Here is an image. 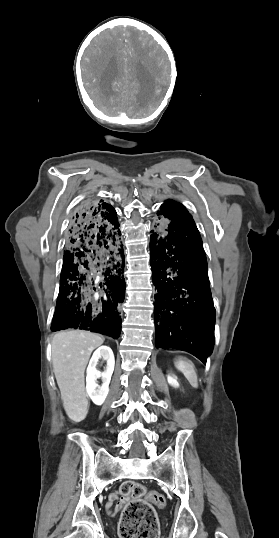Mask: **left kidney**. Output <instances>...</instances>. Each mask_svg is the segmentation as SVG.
Instances as JSON below:
<instances>
[{
    "label": "left kidney",
    "mask_w": 279,
    "mask_h": 538,
    "mask_svg": "<svg viewBox=\"0 0 279 538\" xmlns=\"http://www.w3.org/2000/svg\"><path fill=\"white\" fill-rule=\"evenodd\" d=\"M167 382L170 386H173V388H179L177 378H174V376H167Z\"/></svg>",
    "instance_id": "1"
}]
</instances>
